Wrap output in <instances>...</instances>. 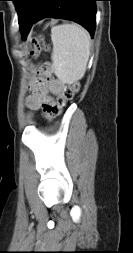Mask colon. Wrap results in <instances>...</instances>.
Here are the masks:
<instances>
[{
	"instance_id": "1",
	"label": "colon",
	"mask_w": 133,
	"mask_h": 253,
	"mask_svg": "<svg viewBox=\"0 0 133 253\" xmlns=\"http://www.w3.org/2000/svg\"><path fill=\"white\" fill-rule=\"evenodd\" d=\"M33 44H34V47L32 50L33 54L38 53L42 48L45 47V43L42 38L34 39ZM79 89H80V85L78 82L74 81V82L69 83L66 86L63 94L59 97L56 106L53 108V112L55 114H58L60 110L66 105V103L70 101L74 97L75 94L78 93Z\"/></svg>"
}]
</instances>
